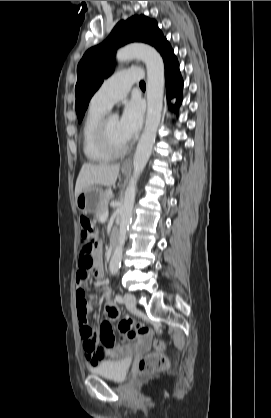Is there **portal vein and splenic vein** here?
Returning a JSON list of instances; mask_svg holds the SVG:
<instances>
[{"instance_id":"18ae733b","label":"portal vein and splenic vein","mask_w":271,"mask_h":418,"mask_svg":"<svg viewBox=\"0 0 271 418\" xmlns=\"http://www.w3.org/2000/svg\"><path fill=\"white\" fill-rule=\"evenodd\" d=\"M107 218H108V213H105V214L101 217L100 221H101V222H105V221L107 220Z\"/></svg>"}]
</instances>
